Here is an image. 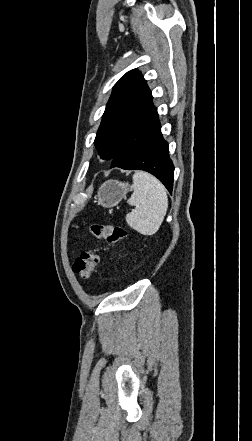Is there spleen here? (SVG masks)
<instances>
[{
    "label": "spleen",
    "mask_w": 252,
    "mask_h": 441,
    "mask_svg": "<svg viewBox=\"0 0 252 441\" xmlns=\"http://www.w3.org/2000/svg\"><path fill=\"white\" fill-rule=\"evenodd\" d=\"M127 202L135 206L126 215L127 224L140 234H155L168 208V197L163 184L151 174L137 171L133 175V193Z\"/></svg>",
    "instance_id": "1"
}]
</instances>
